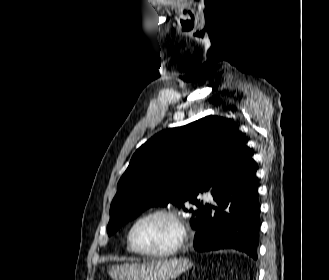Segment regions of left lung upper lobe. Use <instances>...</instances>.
<instances>
[{
	"instance_id": "left-lung-upper-lobe-1",
	"label": "left lung upper lobe",
	"mask_w": 329,
	"mask_h": 280,
	"mask_svg": "<svg viewBox=\"0 0 329 280\" xmlns=\"http://www.w3.org/2000/svg\"><path fill=\"white\" fill-rule=\"evenodd\" d=\"M244 145L242 133L218 116L157 133L135 152L118 182L108 235L147 208L168 203L193 213L190 222L196 229L204 207L198 193L215 195L229 185L240 169ZM186 202L199 209H187Z\"/></svg>"
}]
</instances>
